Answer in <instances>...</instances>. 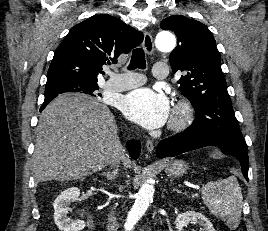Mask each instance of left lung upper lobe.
<instances>
[{"mask_svg": "<svg viewBox=\"0 0 268 231\" xmlns=\"http://www.w3.org/2000/svg\"><path fill=\"white\" fill-rule=\"evenodd\" d=\"M160 27L173 31L178 39L169 60L174 73L184 71L185 75L178 81L179 90L191 101L196 114L186 130L247 148L227 92L220 54L207 26L173 15L162 20Z\"/></svg>", "mask_w": 268, "mask_h": 231, "instance_id": "5c2ea615", "label": "left lung upper lobe"}]
</instances>
